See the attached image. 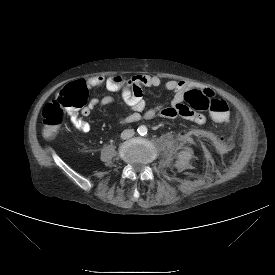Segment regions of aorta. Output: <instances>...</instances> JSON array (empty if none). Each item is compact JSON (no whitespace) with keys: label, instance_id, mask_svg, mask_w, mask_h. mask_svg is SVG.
<instances>
[{"label":"aorta","instance_id":"aorta-1","mask_svg":"<svg viewBox=\"0 0 275 275\" xmlns=\"http://www.w3.org/2000/svg\"><path fill=\"white\" fill-rule=\"evenodd\" d=\"M137 131L140 135H145L147 133V128L146 126L142 125L138 127Z\"/></svg>","mask_w":275,"mask_h":275}]
</instances>
